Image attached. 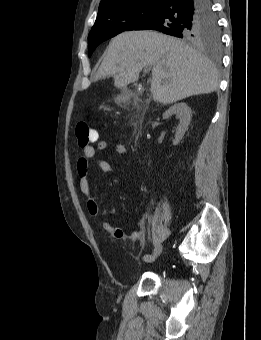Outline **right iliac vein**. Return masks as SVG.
Here are the masks:
<instances>
[{
  "label": "right iliac vein",
  "instance_id": "obj_1",
  "mask_svg": "<svg viewBox=\"0 0 261 340\" xmlns=\"http://www.w3.org/2000/svg\"><path fill=\"white\" fill-rule=\"evenodd\" d=\"M163 252V244H158L152 253V262L155 261Z\"/></svg>",
  "mask_w": 261,
  "mask_h": 340
}]
</instances>
